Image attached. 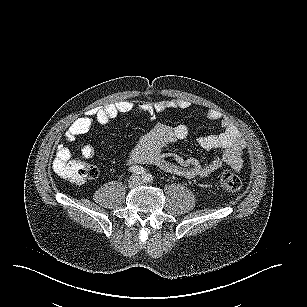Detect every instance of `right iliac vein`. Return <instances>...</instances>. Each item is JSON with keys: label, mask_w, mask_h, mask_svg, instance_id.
<instances>
[{"label": "right iliac vein", "mask_w": 307, "mask_h": 307, "mask_svg": "<svg viewBox=\"0 0 307 307\" xmlns=\"http://www.w3.org/2000/svg\"><path fill=\"white\" fill-rule=\"evenodd\" d=\"M138 183V177L137 176H132L129 181H128V185L130 188H134Z\"/></svg>", "instance_id": "obj_1"}]
</instances>
